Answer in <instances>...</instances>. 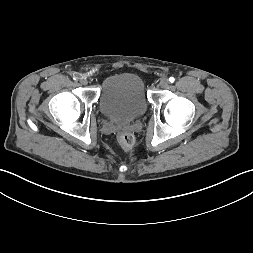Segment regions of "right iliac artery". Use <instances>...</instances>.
<instances>
[{"label": "right iliac artery", "mask_w": 253, "mask_h": 253, "mask_svg": "<svg viewBox=\"0 0 253 253\" xmlns=\"http://www.w3.org/2000/svg\"><path fill=\"white\" fill-rule=\"evenodd\" d=\"M73 79H74L75 81H78V80L80 79V76H79V75H74V76H73Z\"/></svg>", "instance_id": "right-iliac-artery-1"}]
</instances>
